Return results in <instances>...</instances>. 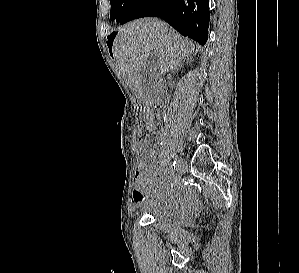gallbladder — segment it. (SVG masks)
I'll list each match as a JSON object with an SVG mask.
<instances>
[{
    "label": "gallbladder",
    "instance_id": "obj_1",
    "mask_svg": "<svg viewBox=\"0 0 299 273\" xmlns=\"http://www.w3.org/2000/svg\"><path fill=\"white\" fill-rule=\"evenodd\" d=\"M141 75L143 96L145 98H151L154 96V88L158 76L155 61L151 60L146 62L142 68Z\"/></svg>",
    "mask_w": 299,
    "mask_h": 273
}]
</instances>
